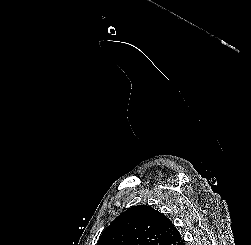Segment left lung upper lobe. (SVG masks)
Here are the masks:
<instances>
[{
	"label": "left lung upper lobe",
	"instance_id": "left-lung-upper-lobe-1",
	"mask_svg": "<svg viewBox=\"0 0 251 245\" xmlns=\"http://www.w3.org/2000/svg\"><path fill=\"white\" fill-rule=\"evenodd\" d=\"M181 234L161 212L137 205L121 213L102 233L97 245H179Z\"/></svg>",
	"mask_w": 251,
	"mask_h": 245
}]
</instances>
